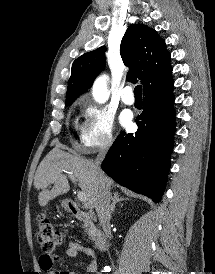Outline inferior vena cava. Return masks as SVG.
Returning a JSON list of instances; mask_svg holds the SVG:
<instances>
[{
    "instance_id": "602c4592",
    "label": "inferior vena cava",
    "mask_w": 215,
    "mask_h": 274,
    "mask_svg": "<svg viewBox=\"0 0 215 274\" xmlns=\"http://www.w3.org/2000/svg\"><path fill=\"white\" fill-rule=\"evenodd\" d=\"M107 150H102L94 161V169L98 176L99 183V193L96 202V212L100 221V224L107 237L111 238V229H110V200L111 194L108 185L106 184L105 178L101 171L100 165L105 158Z\"/></svg>"
}]
</instances>
